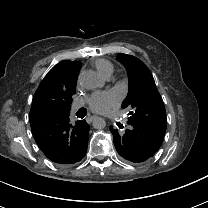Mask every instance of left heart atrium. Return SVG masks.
Instances as JSON below:
<instances>
[{
  "instance_id": "obj_1",
  "label": "left heart atrium",
  "mask_w": 208,
  "mask_h": 208,
  "mask_svg": "<svg viewBox=\"0 0 208 208\" xmlns=\"http://www.w3.org/2000/svg\"><path fill=\"white\" fill-rule=\"evenodd\" d=\"M87 104L93 112L106 113L111 106V99L106 95L93 94L88 97Z\"/></svg>"
}]
</instances>
